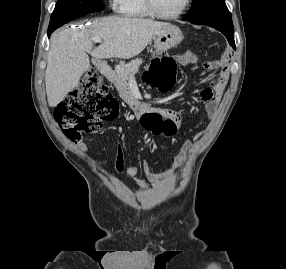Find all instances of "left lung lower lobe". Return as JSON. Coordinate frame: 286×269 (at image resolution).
<instances>
[{"label": "left lung lower lobe", "instance_id": "left-lung-lower-lobe-1", "mask_svg": "<svg viewBox=\"0 0 286 269\" xmlns=\"http://www.w3.org/2000/svg\"><path fill=\"white\" fill-rule=\"evenodd\" d=\"M207 26H209V25H207ZM210 27H213V28L219 30L220 32H222L226 36V38H227L228 42L230 43V45L234 49H236L235 48V43H234V30L228 29V28H225V27H221V26H215V25H210Z\"/></svg>", "mask_w": 286, "mask_h": 269}]
</instances>
